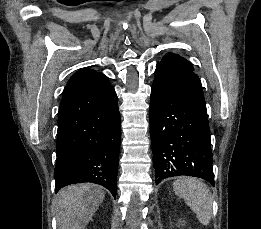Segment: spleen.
Returning a JSON list of instances; mask_svg holds the SVG:
<instances>
[{"label":"spleen","mask_w":261,"mask_h":229,"mask_svg":"<svg viewBox=\"0 0 261 229\" xmlns=\"http://www.w3.org/2000/svg\"><path fill=\"white\" fill-rule=\"evenodd\" d=\"M173 191L180 199H184L186 205L193 213H196L198 221L202 225H209L212 215V195L205 183L194 177H179L174 181Z\"/></svg>","instance_id":"1"}]
</instances>
